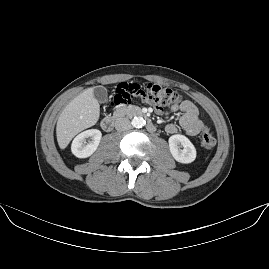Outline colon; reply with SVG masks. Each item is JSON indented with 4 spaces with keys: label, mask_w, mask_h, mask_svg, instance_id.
<instances>
[{
    "label": "colon",
    "mask_w": 269,
    "mask_h": 269,
    "mask_svg": "<svg viewBox=\"0 0 269 269\" xmlns=\"http://www.w3.org/2000/svg\"><path fill=\"white\" fill-rule=\"evenodd\" d=\"M147 102L158 107H173L180 101V94L169 86L149 82L140 86L136 82L119 85L115 94L107 98L108 106L127 105L133 102ZM200 141L204 148L212 149L216 145L212 131L204 128L200 135Z\"/></svg>",
    "instance_id": "colon-1"
}]
</instances>
